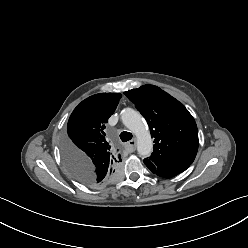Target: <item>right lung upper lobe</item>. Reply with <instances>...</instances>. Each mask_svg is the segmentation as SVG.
<instances>
[{"label":"right lung upper lobe","instance_id":"1","mask_svg":"<svg viewBox=\"0 0 248 248\" xmlns=\"http://www.w3.org/2000/svg\"><path fill=\"white\" fill-rule=\"evenodd\" d=\"M121 97L120 93L90 96L74 109L69 118L68 147L62 151L63 160L71 158L88 174L91 186L107 184L119 174L121 155L106 140L104 129Z\"/></svg>","mask_w":248,"mask_h":248}]
</instances>
